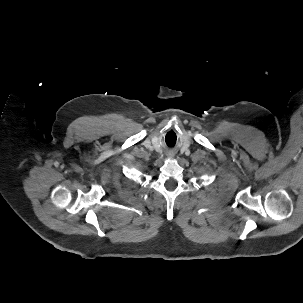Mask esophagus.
<instances>
[{"instance_id": "obj_1", "label": "esophagus", "mask_w": 303, "mask_h": 303, "mask_svg": "<svg viewBox=\"0 0 303 303\" xmlns=\"http://www.w3.org/2000/svg\"><path fill=\"white\" fill-rule=\"evenodd\" d=\"M170 157H173V154H169Z\"/></svg>"}]
</instances>
